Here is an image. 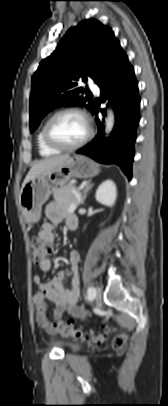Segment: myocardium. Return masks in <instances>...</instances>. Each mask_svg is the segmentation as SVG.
I'll return each instance as SVG.
<instances>
[{
    "instance_id": "myocardium-1",
    "label": "myocardium",
    "mask_w": 168,
    "mask_h": 406,
    "mask_svg": "<svg viewBox=\"0 0 168 406\" xmlns=\"http://www.w3.org/2000/svg\"><path fill=\"white\" fill-rule=\"evenodd\" d=\"M65 113L79 114L85 120V123L87 126V132H86L85 136L74 144H60L57 141H55L50 134V127H51L52 122L58 116L65 114ZM92 135H93V127H92L90 118L84 110H82L81 108H78V107H65V108H62V109L56 111L53 115L50 116V118L46 121V123L44 124V127H43V138H44L45 143L49 147L58 149V150H74V149L80 148L81 146H83L90 140Z\"/></svg>"
}]
</instances>
